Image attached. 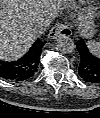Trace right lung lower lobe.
Here are the masks:
<instances>
[{"label": "right lung lower lobe", "instance_id": "obj_1", "mask_svg": "<svg viewBox=\"0 0 100 118\" xmlns=\"http://www.w3.org/2000/svg\"><path fill=\"white\" fill-rule=\"evenodd\" d=\"M46 42L39 39L30 50L17 61H0V77L11 81H23L31 78L38 71L41 50Z\"/></svg>", "mask_w": 100, "mask_h": 118}]
</instances>
